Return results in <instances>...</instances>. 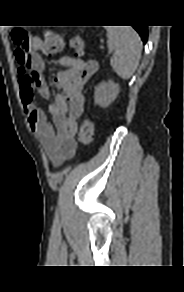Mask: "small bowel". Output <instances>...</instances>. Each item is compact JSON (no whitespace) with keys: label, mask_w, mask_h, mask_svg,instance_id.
I'll list each match as a JSON object with an SVG mask.
<instances>
[{"label":"small bowel","mask_w":184,"mask_h":292,"mask_svg":"<svg viewBox=\"0 0 184 292\" xmlns=\"http://www.w3.org/2000/svg\"><path fill=\"white\" fill-rule=\"evenodd\" d=\"M42 41L38 37L29 39L25 57L15 51L18 62L19 88L27 121L39 142L47 151L54 166L71 159L76 151L77 121L84 110L83 87L97 70L93 60L60 56L55 62L62 70L55 76L54 84L61 90L48 106L46 113L34 104V94L48 100L50 91L43 78L45 64L38 51Z\"/></svg>","instance_id":"small-bowel-1"}]
</instances>
